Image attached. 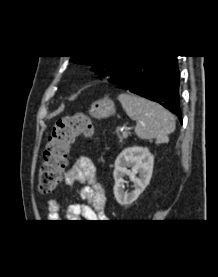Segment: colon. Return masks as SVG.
<instances>
[{
    "label": "colon",
    "mask_w": 218,
    "mask_h": 277,
    "mask_svg": "<svg viewBox=\"0 0 218 277\" xmlns=\"http://www.w3.org/2000/svg\"><path fill=\"white\" fill-rule=\"evenodd\" d=\"M93 138L95 128L92 119L85 113H76L57 120L48 140L44 161L38 178L42 193L51 192L61 181L71 145L77 137Z\"/></svg>",
    "instance_id": "1"
}]
</instances>
